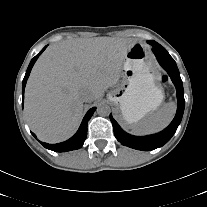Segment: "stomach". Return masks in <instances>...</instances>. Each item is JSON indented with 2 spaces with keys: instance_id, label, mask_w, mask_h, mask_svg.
<instances>
[{
  "instance_id": "stomach-1",
  "label": "stomach",
  "mask_w": 207,
  "mask_h": 207,
  "mask_svg": "<svg viewBox=\"0 0 207 207\" xmlns=\"http://www.w3.org/2000/svg\"><path fill=\"white\" fill-rule=\"evenodd\" d=\"M117 108V119L132 127L157 110L164 100L156 66L146 46L136 42L127 52L120 82L108 94Z\"/></svg>"
}]
</instances>
